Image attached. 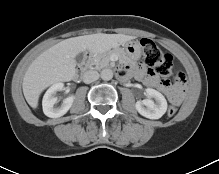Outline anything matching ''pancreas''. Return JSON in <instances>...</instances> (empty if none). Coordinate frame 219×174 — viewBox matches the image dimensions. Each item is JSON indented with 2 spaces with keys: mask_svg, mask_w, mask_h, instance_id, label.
Wrapping results in <instances>:
<instances>
[{
  "mask_svg": "<svg viewBox=\"0 0 219 174\" xmlns=\"http://www.w3.org/2000/svg\"><path fill=\"white\" fill-rule=\"evenodd\" d=\"M112 54H117L120 60L126 59L125 55L119 51H108L98 54L89 60L90 65H94L96 69L107 67L110 63V56Z\"/></svg>",
  "mask_w": 219,
  "mask_h": 174,
  "instance_id": "obj_1",
  "label": "pancreas"
}]
</instances>
